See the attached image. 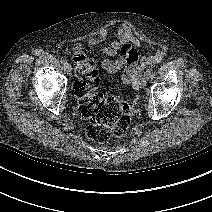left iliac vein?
Returning a JSON list of instances; mask_svg holds the SVG:
<instances>
[{
	"instance_id": "4c4485c4",
	"label": "left iliac vein",
	"mask_w": 212,
	"mask_h": 212,
	"mask_svg": "<svg viewBox=\"0 0 212 212\" xmlns=\"http://www.w3.org/2000/svg\"><path fill=\"white\" fill-rule=\"evenodd\" d=\"M148 78L147 76L144 75V77L142 78L141 82H140V87L144 88L147 84Z\"/></svg>"
}]
</instances>
